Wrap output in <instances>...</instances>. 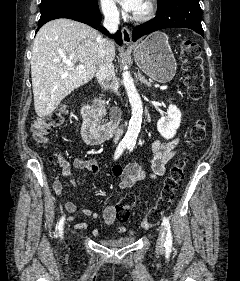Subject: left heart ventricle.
Returning <instances> with one entry per match:
<instances>
[{
	"mask_svg": "<svg viewBox=\"0 0 240 281\" xmlns=\"http://www.w3.org/2000/svg\"><path fill=\"white\" fill-rule=\"evenodd\" d=\"M145 10V2H143L141 8L136 13H141Z\"/></svg>",
	"mask_w": 240,
	"mask_h": 281,
	"instance_id": "1",
	"label": "left heart ventricle"
}]
</instances>
